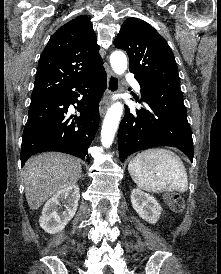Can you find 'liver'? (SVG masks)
I'll use <instances>...</instances> for the list:
<instances>
[{"label":"liver","instance_id":"1","mask_svg":"<svg viewBox=\"0 0 221 274\" xmlns=\"http://www.w3.org/2000/svg\"><path fill=\"white\" fill-rule=\"evenodd\" d=\"M81 164L76 158L48 152L30 158L23 170L25 196L30 209H38L50 197L81 177Z\"/></svg>","mask_w":221,"mask_h":274}]
</instances>
